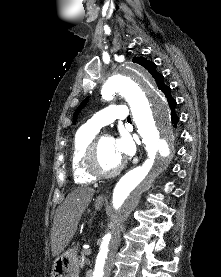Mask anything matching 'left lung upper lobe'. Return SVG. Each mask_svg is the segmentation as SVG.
<instances>
[{
  "mask_svg": "<svg viewBox=\"0 0 221 277\" xmlns=\"http://www.w3.org/2000/svg\"><path fill=\"white\" fill-rule=\"evenodd\" d=\"M133 62H136L140 65H142L144 68H146L150 74L153 76V78L155 79L158 88L163 91L167 86L164 84L163 79L164 77L159 74L158 72H156L155 69V64L151 61H148L147 59L143 58V57H138V58H134ZM89 97H87L86 99H84L82 101V103L79 105V107L76 109V111L74 112L73 115V122H75V119L77 118L79 112L82 110V108L87 104Z\"/></svg>",
  "mask_w": 221,
  "mask_h": 277,
  "instance_id": "left-lung-upper-lobe-1",
  "label": "left lung upper lobe"
}]
</instances>
